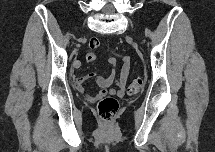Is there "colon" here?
<instances>
[{"instance_id":"colon-1","label":"colon","mask_w":215,"mask_h":152,"mask_svg":"<svg viewBox=\"0 0 215 152\" xmlns=\"http://www.w3.org/2000/svg\"><path fill=\"white\" fill-rule=\"evenodd\" d=\"M100 45V42L97 38L93 37L89 40V47L91 49H96ZM96 59V56L93 52H88L86 54V60L88 62H94ZM142 86V80L141 79H135L133 80L130 85L128 86L127 92L128 94H136L140 91ZM119 102L115 97L107 96L103 97L97 105V111L100 116V118L106 122L111 123L115 116L117 115L119 111Z\"/></svg>"}]
</instances>
